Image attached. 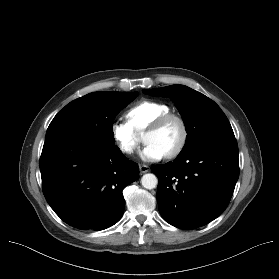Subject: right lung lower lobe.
Here are the masks:
<instances>
[{"instance_id":"1","label":"right lung lower lobe","mask_w":279,"mask_h":279,"mask_svg":"<svg viewBox=\"0 0 279 279\" xmlns=\"http://www.w3.org/2000/svg\"><path fill=\"white\" fill-rule=\"evenodd\" d=\"M40 171L44 196L67 224L103 230L123 215V189L139 176L138 165L117 146L104 147L78 136L44 143Z\"/></svg>"}]
</instances>
